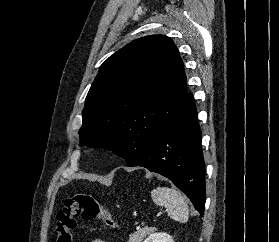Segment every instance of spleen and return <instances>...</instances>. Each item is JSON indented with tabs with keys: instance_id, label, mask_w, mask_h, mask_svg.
<instances>
[{
	"instance_id": "obj_1",
	"label": "spleen",
	"mask_w": 279,
	"mask_h": 242,
	"mask_svg": "<svg viewBox=\"0 0 279 242\" xmlns=\"http://www.w3.org/2000/svg\"><path fill=\"white\" fill-rule=\"evenodd\" d=\"M151 197L155 204L166 208L172 219L182 223L188 221V205L182 194L176 189L157 187L151 191Z\"/></svg>"
}]
</instances>
